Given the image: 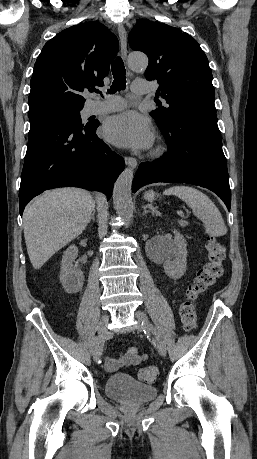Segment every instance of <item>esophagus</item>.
I'll return each instance as SVG.
<instances>
[{
	"instance_id": "obj_1",
	"label": "esophagus",
	"mask_w": 257,
	"mask_h": 459,
	"mask_svg": "<svg viewBox=\"0 0 257 459\" xmlns=\"http://www.w3.org/2000/svg\"><path fill=\"white\" fill-rule=\"evenodd\" d=\"M118 35L120 40L121 54L123 59L127 57V37L126 31L123 24L118 25ZM125 163L127 166L135 168L137 165V160L134 157H125Z\"/></svg>"
}]
</instances>
